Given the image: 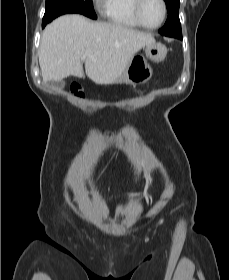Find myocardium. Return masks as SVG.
Returning <instances> with one entry per match:
<instances>
[{"label": "myocardium", "mask_w": 229, "mask_h": 280, "mask_svg": "<svg viewBox=\"0 0 229 280\" xmlns=\"http://www.w3.org/2000/svg\"><path fill=\"white\" fill-rule=\"evenodd\" d=\"M144 2H145V0H134L133 15H134L136 21L143 28H146V29H149V30L158 29L165 22V19H166V16H167V5H166L165 0H159L160 4L162 6L163 14H162L161 21L155 26H150V25L146 24L144 22V20L142 19L141 10H142Z\"/></svg>", "instance_id": "myocardium-1"}]
</instances>
